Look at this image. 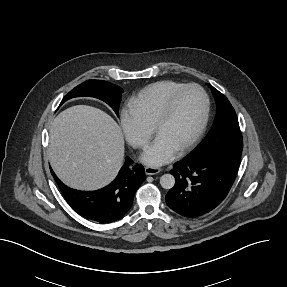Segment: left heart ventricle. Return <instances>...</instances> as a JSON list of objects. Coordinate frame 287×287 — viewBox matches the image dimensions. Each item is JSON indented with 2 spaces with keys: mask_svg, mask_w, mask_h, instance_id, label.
Returning <instances> with one entry per match:
<instances>
[{
  "mask_svg": "<svg viewBox=\"0 0 287 287\" xmlns=\"http://www.w3.org/2000/svg\"><path fill=\"white\" fill-rule=\"evenodd\" d=\"M202 113V95L195 89L186 90L175 100L169 118L157 129L156 136L178 150L198 127Z\"/></svg>",
  "mask_w": 287,
  "mask_h": 287,
  "instance_id": "b2bd125f",
  "label": "left heart ventricle"
}]
</instances>
